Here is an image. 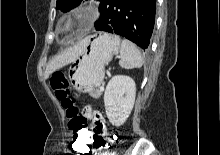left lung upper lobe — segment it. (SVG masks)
<instances>
[{"label":"left lung upper lobe","mask_w":220,"mask_h":155,"mask_svg":"<svg viewBox=\"0 0 220 155\" xmlns=\"http://www.w3.org/2000/svg\"><path fill=\"white\" fill-rule=\"evenodd\" d=\"M81 2L82 0H57L56 8L60 9L63 12H67L79 5Z\"/></svg>","instance_id":"5c2ea615"}]
</instances>
